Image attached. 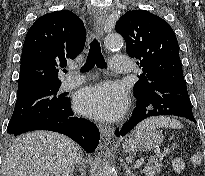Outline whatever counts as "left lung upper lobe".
Masks as SVG:
<instances>
[{
    "instance_id": "5c2ea615",
    "label": "left lung upper lobe",
    "mask_w": 205,
    "mask_h": 176,
    "mask_svg": "<svg viewBox=\"0 0 205 176\" xmlns=\"http://www.w3.org/2000/svg\"><path fill=\"white\" fill-rule=\"evenodd\" d=\"M116 32L126 51L143 70L134 85L135 96L151 91L161 81L184 80L175 33L162 18L145 10L128 11L117 21Z\"/></svg>"
}]
</instances>
